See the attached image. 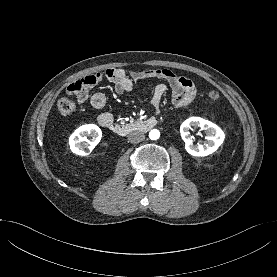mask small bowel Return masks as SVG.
Masks as SVG:
<instances>
[{"label": "small bowel", "mask_w": 277, "mask_h": 277, "mask_svg": "<svg viewBox=\"0 0 277 277\" xmlns=\"http://www.w3.org/2000/svg\"><path fill=\"white\" fill-rule=\"evenodd\" d=\"M157 79L160 83L155 87L152 95V107L156 113L160 111L161 102L164 94L169 87L172 92V104L176 107H185L192 103L196 97V87L194 83L185 77H181L170 71L169 69H143L126 72L122 69H108L93 75L86 76L84 81V91L76 92L73 88L77 82L71 83L67 87V93L76 96L79 103H84L88 99V91L103 80H107L114 84L117 94L130 92L134 89L135 84L140 80ZM90 104L102 112L98 115L99 124L105 121H113V115L106 111V96L101 92H96L90 97Z\"/></svg>", "instance_id": "obj_1"}]
</instances>
